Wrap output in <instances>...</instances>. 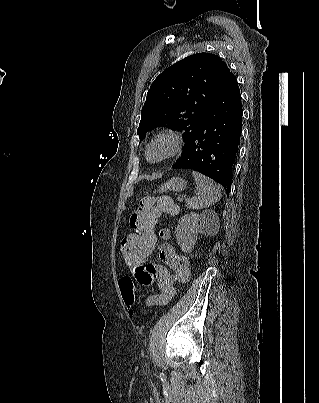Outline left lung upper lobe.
Listing matches in <instances>:
<instances>
[{
	"instance_id": "5c2ea615",
	"label": "left lung upper lobe",
	"mask_w": 319,
	"mask_h": 403,
	"mask_svg": "<svg viewBox=\"0 0 319 403\" xmlns=\"http://www.w3.org/2000/svg\"><path fill=\"white\" fill-rule=\"evenodd\" d=\"M230 73L226 63L210 53L188 56L164 70L147 93L137 129L140 140L147 131L168 124L185 131L184 151Z\"/></svg>"
}]
</instances>
